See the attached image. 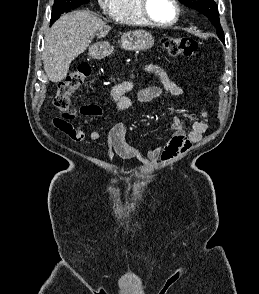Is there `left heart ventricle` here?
<instances>
[{
  "mask_svg": "<svg viewBox=\"0 0 259 294\" xmlns=\"http://www.w3.org/2000/svg\"><path fill=\"white\" fill-rule=\"evenodd\" d=\"M150 15L158 22L166 23L173 20L175 8L171 0H149Z\"/></svg>",
  "mask_w": 259,
  "mask_h": 294,
  "instance_id": "b2bd125f",
  "label": "left heart ventricle"
}]
</instances>
